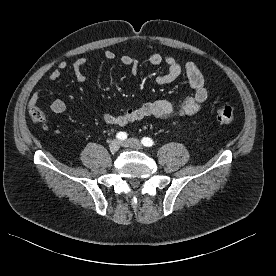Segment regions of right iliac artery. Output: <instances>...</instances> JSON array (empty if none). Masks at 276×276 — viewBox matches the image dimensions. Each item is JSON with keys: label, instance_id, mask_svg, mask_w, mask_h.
I'll list each match as a JSON object with an SVG mask.
<instances>
[{"label": "right iliac artery", "instance_id": "1", "mask_svg": "<svg viewBox=\"0 0 276 276\" xmlns=\"http://www.w3.org/2000/svg\"><path fill=\"white\" fill-rule=\"evenodd\" d=\"M127 133L126 132H119V133H117V135H116V138L118 139V140H125L126 138H127Z\"/></svg>", "mask_w": 276, "mask_h": 276}]
</instances>
